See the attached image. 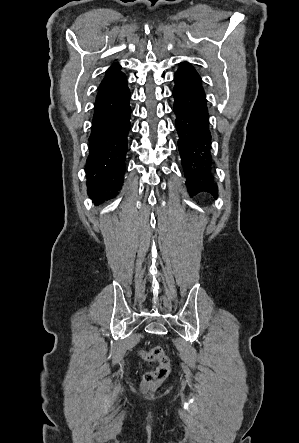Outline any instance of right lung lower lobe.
Wrapping results in <instances>:
<instances>
[{
    "instance_id": "right-lung-lower-lobe-1",
    "label": "right lung lower lobe",
    "mask_w": 299,
    "mask_h": 443,
    "mask_svg": "<svg viewBox=\"0 0 299 443\" xmlns=\"http://www.w3.org/2000/svg\"><path fill=\"white\" fill-rule=\"evenodd\" d=\"M130 92L122 73L99 87L87 159V191L93 202L115 197L123 183L127 134L130 130Z\"/></svg>"
}]
</instances>
